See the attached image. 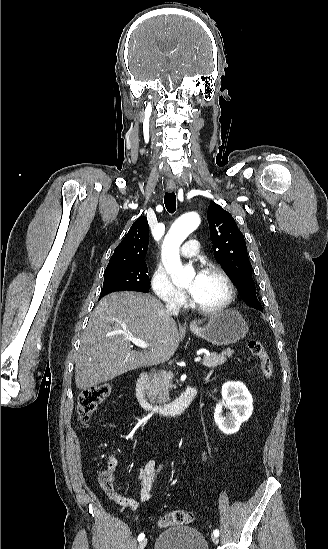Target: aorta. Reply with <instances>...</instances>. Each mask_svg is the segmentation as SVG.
Masks as SVG:
<instances>
[{"instance_id": "1", "label": "aorta", "mask_w": 328, "mask_h": 549, "mask_svg": "<svg viewBox=\"0 0 328 549\" xmlns=\"http://www.w3.org/2000/svg\"><path fill=\"white\" fill-rule=\"evenodd\" d=\"M199 224L200 218L198 214L194 212L183 214L173 223L165 238V267L176 286L187 285L195 276L193 268L182 266L179 248L182 242Z\"/></svg>"}]
</instances>
